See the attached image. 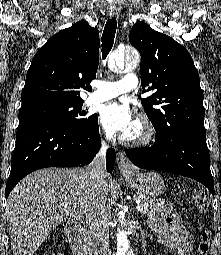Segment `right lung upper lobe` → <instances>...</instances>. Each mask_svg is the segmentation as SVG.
Listing matches in <instances>:
<instances>
[{"label": "right lung upper lobe", "mask_w": 221, "mask_h": 255, "mask_svg": "<svg viewBox=\"0 0 221 255\" xmlns=\"http://www.w3.org/2000/svg\"><path fill=\"white\" fill-rule=\"evenodd\" d=\"M99 31L81 20L53 35L35 54L26 75L20 109L44 103L83 101L99 63Z\"/></svg>", "instance_id": "1"}]
</instances>
